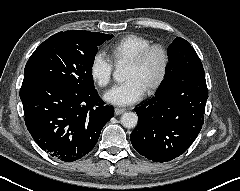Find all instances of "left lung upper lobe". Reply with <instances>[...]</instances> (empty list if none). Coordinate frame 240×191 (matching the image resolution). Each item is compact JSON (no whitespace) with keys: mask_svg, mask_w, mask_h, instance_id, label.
<instances>
[{"mask_svg":"<svg viewBox=\"0 0 240 191\" xmlns=\"http://www.w3.org/2000/svg\"><path fill=\"white\" fill-rule=\"evenodd\" d=\"M167 54L169 63L167 64V71L159 88L163 87L169 79L174 78L185 70H189V67L198 66L199 68H203L196 51L183 38H176L169 45Z\"/></svg>","mask_w":240,"mask_h":191,"instance_id":"1","label":"left lung upper lobe"}]
</instances>
